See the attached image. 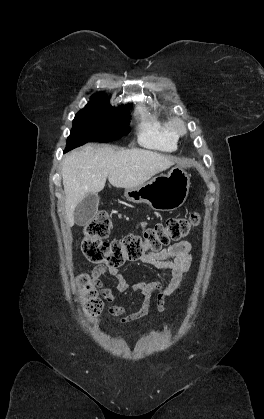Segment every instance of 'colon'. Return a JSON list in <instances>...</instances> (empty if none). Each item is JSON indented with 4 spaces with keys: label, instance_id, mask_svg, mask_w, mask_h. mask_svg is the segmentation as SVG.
I'll list each match as a JSON object with an SVG mask.
<instances>
[{
    "label": "colon",
    "instance_id": "colon-1",
    "mask_svg": "<svg viewBox=\"0 0 264 419\" xmlns=\"http://www.w3.org/2000/svg\"><path fill=\"white\" fill-rule=\"evenodd\" d=\"M199 220L197 213L188 217H173L147 228L140 235L131 234L123 239L105 241L111 230V221L107 214L100 213L84 227L81 251L89 262L116 269L126 261L140 260L145 254L158 252L171 241L187 236ZM78 286L85 312L91 319H96L103 309V301L93 280L82 275Z\"/></svg>",
    "mask_w": 264,
    "mask_h": 419
}]
</instances>
